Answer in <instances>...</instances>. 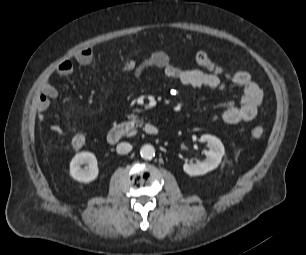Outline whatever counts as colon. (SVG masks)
I'll return each mask as SVG.
<instances>
[{
  "label": "colon",
  "instance_id": "obj_1",
  "mask_svg": "<svg viewBox=\"0 0 306 255\" xmlns=\"http://www.w3.org/2000/svg\"><path fill=\"white\" fill-rule=\"evenodd\" d=\"M124 67V65H123ZM264 127L261 125H255L251 129V136L255 139H259L264 135ZM85 145V137L82 134L75 135L71 140V147L74 150H80Z\"/></svg>",
  "mask_w": 306,
  "mask_h": 255
}]
</instances>
